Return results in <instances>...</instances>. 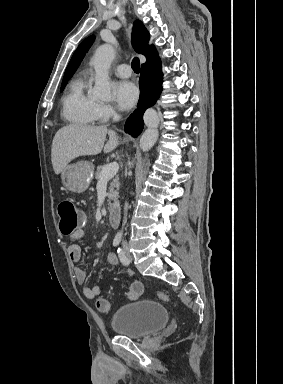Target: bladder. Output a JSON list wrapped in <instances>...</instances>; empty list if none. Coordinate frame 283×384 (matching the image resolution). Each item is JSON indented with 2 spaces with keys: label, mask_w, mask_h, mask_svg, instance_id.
<instances>
[{
  "label": "bladder",
  "mask_w": 283,
  "mask_h": 384,
  "mask_svg": "<svg viewBox=\"0 0 283 384\" xmlns=\"http://www.w3.org/2000/svg\"><path fill=\"white\" fill-rule=\"evenodd\" d=\"M168 321L165 305L145 298L120 306L113 313L111 327L115 335L139 339L161 330Z\"/></svg>",
  "instance_id": "31cf9c89"
}]
</instances>
